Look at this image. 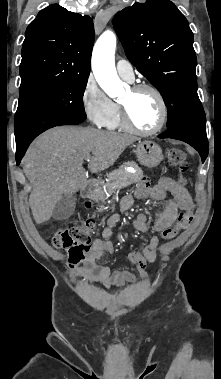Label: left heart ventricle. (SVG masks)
Here are the masks:
<instances>
[{"mask_svg": "<svg viewBox=\"0 0 221 379\" xmlns=\"http://www.w3.org/2000/svg\"><path fill=\"white\" fill-rule=\"evenodd\" d=\"M121 103L127 107L132 123L143 130L153 128L159 120V105L149 91L133 93L129 90Z\"/></svg>", "mask_w": 221, "mask_h": 379, "instance_id": "obj_1", "label": "left heart ventricle"}]
</instances>
